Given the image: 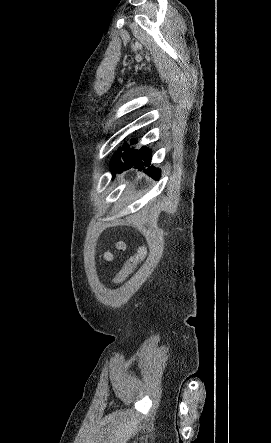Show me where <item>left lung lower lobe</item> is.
Wrapping results in <instances>:
<instances>
[{
	"instance_id": "left-lung-lower-lobe-1",
	"label": "left lung lower lobe",
	"mask_w": 271,
	"mask_h": 443,
	"mask_svg": "<svg viewBox=\"0 0 271 443\" xmlns=\"http://www.w3.org/2000/svg\"><path fill=\"white\" fill-rule=\"evenodd\" d=\"M136 143V141L131 140V144ZM122 150L124 151L123 153H121V150L117 152L114 163L111 167L113 177L116 173H121L124 170H128L134 167L139 170H144L145 173H147L155 180H158L160 178V169L150 166L151 151L149 149H147L146 147H142L139 150L130 149L129 145L125 144L122 147ZM145 167L148 168L145 169Z\"/></svg>"
}]
</instances>
